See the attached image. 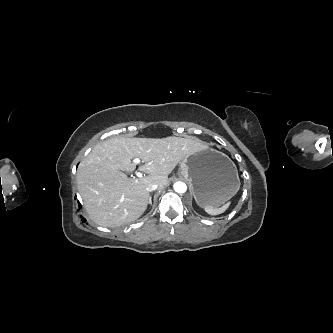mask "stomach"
<instances>
[{"instance_id":"1","label":"stomach","mask_w":333,"mask_h":333,"mask_svg":"<svg viewBox=\"0 0 333 333\" xmlns=\"http://www.w3.org/2000/svg\"><path fill=\"white\" fill-rule=\"evenodd\" d=\"M178 175L191 184L196 203L219 208L238 191V171L224 153L206 148L180 161Z\"/></svg>"}]
</instances>
